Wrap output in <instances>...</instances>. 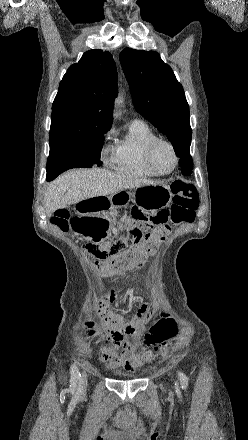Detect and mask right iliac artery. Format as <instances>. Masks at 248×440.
Here are the masks:
<instances>
[{
    "instance_id": "obj_1",
    "label": "right iliac artery",
    "mask_w": 248,
    "mask_h": 440,
    "mask_svg": "<svg viewBox=\"0 0 248 440\" xmlns=\"http://www.w3.org/2000/svg\"><path fill=\"white\" fill-rule=\"evenodd\" d=\"M80 381H81V374L76 364H73L71 367V379H70V387H69L70 393L74 394L76 392L77 384Z\"/></svg>"
}]
</instances>
